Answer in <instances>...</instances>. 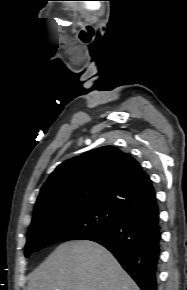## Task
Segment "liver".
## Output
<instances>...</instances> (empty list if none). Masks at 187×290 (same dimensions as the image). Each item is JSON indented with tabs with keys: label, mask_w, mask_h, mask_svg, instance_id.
Returning a JSON list of instances; mask_svg holds the SVG:
<instances>
[{
	"label": "liver",
	"mask_w": 187,
	"mask_h": 290,
	"mask_svg": "<svg viewBox=\"0 0 187 290\" xmlns=\"http://www.w3.org/2000/svg\"><path fill=\"white\" fill-rule=\"evenodd\" d=\"M26 290H140L114 256L93 241L59 245L29 275Z\"/></svg>",
	"instance_id": "1"
}]
</instances>
